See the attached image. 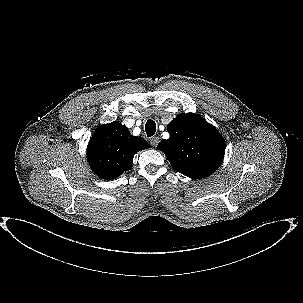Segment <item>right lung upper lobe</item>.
<instances>
[{"mask_svg":"<svg viewBox=\"0 0 303 303\" xmlns=\"http://www.w3.org/2000/svg\"><path fill=\"white\" fill-rule=\"evenodd\" d=\"M150 145L142 138L130 134L118 123L100 126L87 146V159L95 174L112 180L132 168L134 155Z\"/></svg>","mask_w":303,"mask_h":303,"instance_id":"1","label":"right lung upper lobe"}]
</instances>
